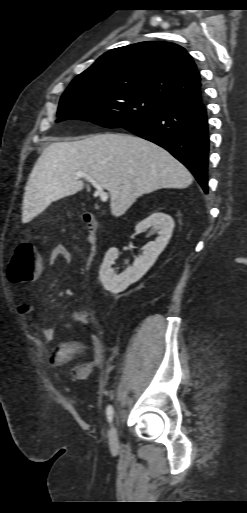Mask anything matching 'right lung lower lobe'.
<instances>
[{
	"mask_svg": "<svg viewBox=\"0 0 247 513\" xmlns=\"http://www.w3.org/2000/svg\"><path fill=\"white\" fill-rule=\"evenodd\" d=\"M124 129L165 148L195 176L208 192L209 135L202 100L169 106Z\"/></svg>",
	"mask_w": 247,
	"mask_h": 513,
	"instance_id": "obj_1",
	"label": "right lung lower lobe"
}]
</instances>
